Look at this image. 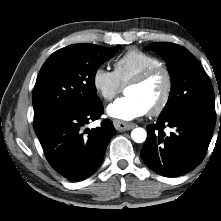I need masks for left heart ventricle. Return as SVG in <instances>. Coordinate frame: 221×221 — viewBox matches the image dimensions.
<instances>
[{"label": "left heart ventricle", "instance_id": "b2bd125f", "mask_svg": "<svg viewBox=\"0 0 221 221\" xmlns=\"http://www.w3.org/2000/svg\"><path fill=\"white\" fill-rule=\"evenodd\" d=\"M164 86V75L157 74L142 85L127 87L126 95L138 98L149 110L160 100Z\"/></svg>", "mask_w": 221, "mask_h": 221}]
</instances>
